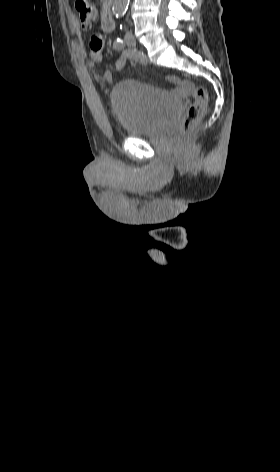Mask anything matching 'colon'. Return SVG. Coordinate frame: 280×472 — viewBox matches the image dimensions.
Returning <instances> with one entry per match:
<instances>
[{
	"mask_svg": "<svg viewBox=\"0 0 280 472\" xmlns=\"http://www.w3.org/2000/svg\"><path fill=\"white\" fill-rule=\"evenodd\" d=\"M75 7L79 15L81 27L90 29L96 19V10L89 0H76ZM192 103L182 116L179 132L181 137L188 136L192 128L202 118L207 106V92L203 87H196L192 93Z\"/></svg>",
	"mask_w": 280,
	"mask_h": 472,
	"instance_id": "1",
	"label": "colon"
}]
</instances>
